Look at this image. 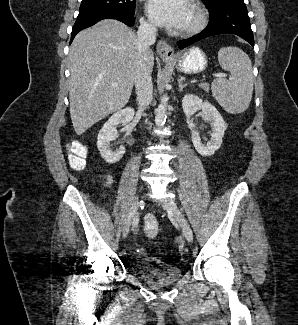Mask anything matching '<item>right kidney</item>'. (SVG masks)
<instances>
[{
  "instance_id": "obj_1",
  "label": "right kidney",
  "mask_w": 298,
  "mask_h": 325,
  "mask_svg": "<svg viewBox=\"0 0 298 325\" xmlns=\"http://www.w3.org/2000/svg\"><path fill=\"white\" fill-rule=\"evenodd\" d=\"M135 114L132 106H126L114 112L107 122L103 124L99 130L97 136V148L101 152L102 158L106 160V163H118V160L122 158L125 152V146H119L116 150H113L110 146L111 140H114L117 136L118 124H129L133 120Z\"/></svg>"
}]
</instances>
